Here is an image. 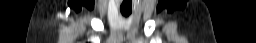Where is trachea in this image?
Here are the masks:
<instances>
[{
	"mask_svg": "<svg viewBox=\"0 0 256 43\" xmlns=\"http://www.w3.org/2000/svg\"><path fill=\"white\" fill-rule=\"evenodd\" d=\"M120 11H121L123 16L128 17L131 14L132 9H130V10H122V9H120Z\"/></svg>",
	"mask_w": 256,
	"mask_h": 43,
	"instance_id": "trachea-1",
	"label": "trachea"
}]
</instances>
